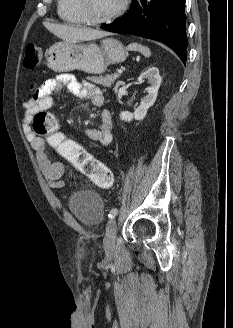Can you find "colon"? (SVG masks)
Listing matches in <instances>:
<instances>
[{"label": "colon", "instance_id": "1", "mask_svg": "<svg viewBox=\"0 0 233 328\" xmlns=\"http://www.w3.org/2000/svg\"><path fill=\"white\" fill-rule=\"evenodd\" d=\"M41 58V47L34 43L28 44L23 61L24 69L27 71L34 70L39 65ZM32 126L37 137L44 139L97 186L103 189L112 187L113 174L111 170L105 164L91 156L78 143L66 138L59 131V124L55 114L47 111L37 112L33 116Z\"/></svg>", "mask_w": 233, "mask_h": 328}]
</instances>
